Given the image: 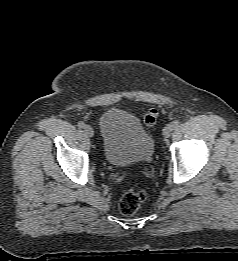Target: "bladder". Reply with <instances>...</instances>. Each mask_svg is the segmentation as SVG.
I'll use <instances>...</instances> for the list:
<instances>
[{
  "label": "bladder",
  "instance_id": "1",
  "mask_svg": "<svg viewBox=\"0 0 238 261\" xmlns=\"http://www.w3.org/2000/svg\"><path fill=\"white\" fill-rule=\"evenodd\" d=\"M105 160L124 167L148 162L154 154L151 134L134 115L118 108L106 110L99 119Z\"/></svg>",
  "mask_w": 238,
  "mask_h": 261
}]
</instances>
